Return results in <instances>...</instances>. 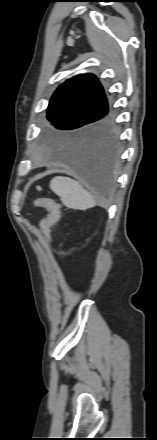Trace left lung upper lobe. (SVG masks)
<instances>
[{
  "label": "left lung upper lobe",
  "mask_w": 157,
  "mask_h": 440,
  "mask_svg": "<svg viewBox=\"0 0 157 440\" xmlns=\"http://www.w3.org/2000/svg\"><path fill=\"white\" fill-rule=\"evenodd\" d=\"M108 104L92 74L77 75L60 85L47 109V118L71 139L84 138L108 127Z\"/></svg>",
  "instance_id": "obj_1"
}]
</instances>
